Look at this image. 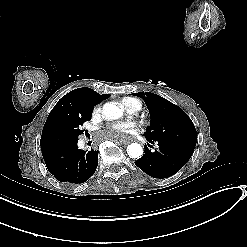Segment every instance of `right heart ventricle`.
<instances>
[{
  "label": "right heart ventricle",
  "mask_w": 247,
  "mask_h": 247,
  "mask_svg": "<svg viewBox=\"0 0 247 247\" xmlns=\"http://www.w3.org/2000/svg\"><path fill=\"white\" fill-rule=\"evenodd\" d=\"M121 106L126 110L127 113H135L141 108V102L139 100L124 97L120 100Z\"/></svg>",
  "instance_id": "obj_1"
}]
</instances>
